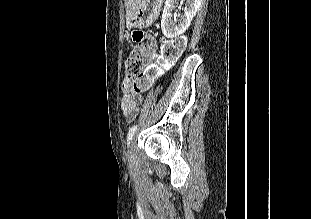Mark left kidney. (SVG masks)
Returning a JSON list of instances; mask_svg holds the SVG:
<instances>
[{
	"instance_id": "1",
	"label": "left kidney",
	"mask_w": 311,
	"mask_h": 219,
	"mask_svg": "<svg viewBox=\"0 0 311 219\" xmlns=\"http://www.w3.org/2000/svg\"><path fill=\"white\" fill-rule=\"evenodd\" d=\"M177 1L166 0L162 13L161 29L167 38H174L183 34L190 26L202 3V0H186L185 7L183 8L184 14L177 21L176 19H172Z\"/></svg>"
}]
</instances>
